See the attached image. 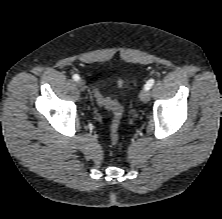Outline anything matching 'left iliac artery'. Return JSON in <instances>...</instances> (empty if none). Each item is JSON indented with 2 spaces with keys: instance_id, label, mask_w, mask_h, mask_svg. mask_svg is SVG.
Instances as JSON below:
<instances>
[{
  "instance_id": "obj_1",
  "label": "left iliac artery",
  "mask_w": 222,
  "mask_h": 219,
  "mask_svg": "<svg viewBox=\"0 0 222 219\" xmlns=\"http://www.w3.org/2000/svg\"><path fill=\"white\" fill-rule=\"evenodd\" d=\"M154 81H155L154 79L148 80L145 84V89L149 90L153 86Z\"/></svg>"
}]
</instances>
